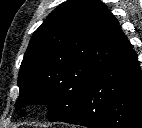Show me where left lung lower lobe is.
Listing matches in <instances>:
<instances>
[{
    "instance_id": "left-lung-lower-lobe-1",
    "label": "left lung lower lobe",
    "mask_w": 142,
    "mask_h": 128,
    "mask_svg": "<svg viewBox=\"0 0 142 128\" xmlns=\"http://www.w3.org/2000/svg\"><path fill=\"white\" fill-rule=\"evenodd\" d=\"M61 122L89 128H142V71L130 43L84 87Z\"/></svg>"
}]
</instances>
